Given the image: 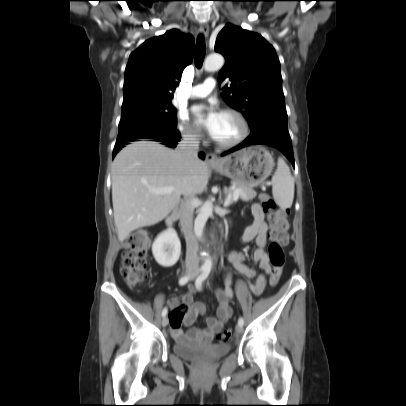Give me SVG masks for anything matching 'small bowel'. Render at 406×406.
Masks as SVG:
<instances>
[{
  "mask_svg": "<svg viewBox=\"0 0 406 406\" xmlns=\"http://www.w3.org/2000/svg\"><path fill=\"white\" fill-rule=\"evenodd\" d=\"M251 214L254 218L253 223L245 230L241 239L243 242L255 240L257 250L251 258V263L255 265L260 272L248 264V256L241 252L231 251L227 255V263L232 264L234 268L244 276L245 282L251 292L258 296L263 292L268 275L271 272V265L266 252L268 225L264 220L263 209L258 204H254L251 207ZM251 279H254V282H251ZM231 282V276L227 273L224 278V288L216 290L218 299L217 317L207 318L208 328L205 330L193 327L189 329L187 333H184L181 328L182 325H191L196 316L203 314L206 310L203 303L193 301V294L196 292V289L189 288L186 294L172 297L169 300L171 308L186 313L185 316L181 318L180 325L177 327H174L170 320V327L175 338L182 342L188 339H211L232 317L233 310L230 305V299L232 298L233 292Z\"/></svg>",
  "mask_w": 406,
  "mask_h": 406,
  "instance_id": "c3829d8e",
  "label": "small bowel"
}]
</instances>
